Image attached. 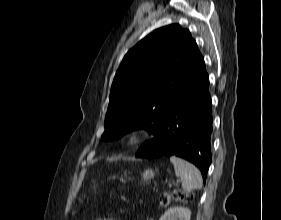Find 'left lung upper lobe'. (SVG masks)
<instances>
[{
	"instance_id": "1",
	"label": "left lung upper lobe",
	"mask_w": 281,
	"mask_h": 220,
	"mask_svg": "<svg viewBox=\"0 0 281 220\" xmlns=\"http://www.w3.org/2000/svg\"><path fill=\"white\" fill-rule=\"evenodd\" d=\"M203 61L195 40L178 24L156 29L124 56L114 77L102 140L135 129L155 135L181 85Z\"/></svg>"
}]
</instances>
